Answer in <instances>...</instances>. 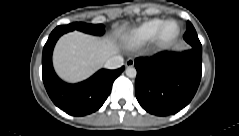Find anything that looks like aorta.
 I'll return each mask as SVG.
<instances>
[{"label": "aorta", "mask_w": 239, "mask_h": 136, "mask_svg": "<svg viewBox=\"0 0 239 136\" xmlns=\"http://www.w3.org/2000/svg\"><path fill=\"white\" fill-rule=\"evenodd\" d=\"M125 73L129 78H135L137 75V71L133 66L127 67Z\"/></svg>", "instance_id": "1"}]
</instances>
